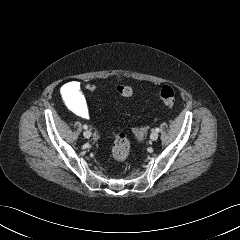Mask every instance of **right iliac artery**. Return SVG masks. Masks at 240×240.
<instances>
[{
  "label": "right iliac artery",
  "mask_w": 240,
  "mask_h": 240,
  "mask_svg": "<svg viewBox=\"0 0 240 240\" xmlns=\"http://www.w3.org/2000/svg\"><path fill=\"white\" fill-rule=\"evenodd\" d=\"M83 128H84V129H87V128H88V126H87V125H83Z\"/></svg>",
  "instance_id": "1"
}]
</instances>
